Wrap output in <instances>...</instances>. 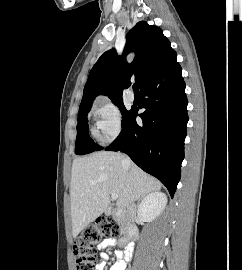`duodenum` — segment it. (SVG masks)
<instances>
[{"label":"duodenum","mask_w":242,"mask_h":270,"mask_svg":"<svg viewBox=\"0 0 242 270\" xmlns=\"http://www.w3.org/2000/svg\"><path fill=\"white\" fill-rule=\"evenodd\" d=\"M108 214L125 223V237L121 240L122 244H128L137 239L138 231L133 221L132 212H125L121 209H112Z\"/></svg>","instance_id":"duodenum-1"}]
</instances>
